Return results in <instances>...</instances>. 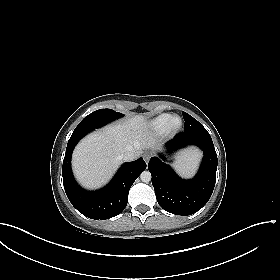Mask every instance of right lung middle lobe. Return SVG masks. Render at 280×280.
Masks as SVG:
<instances>
[{
  "label": "right lung middle lobe",
  "instance_id": "right-lung-middle-lobe-1",
  "mask_svg": "<svg viewBox=\"0 0 280 280\" xmlns=\"http://www.w3.org/2000/svg\"><path fill=\"white\" fill-rule=\"evenodd\" d=\"M123 114L115 112L111 109H100L92 112L86 116L80 124L75 128L73 134L80 132H90L95 128L104 126L105 124L115 120L116 118L122 117Z\"/></svg>",
  "mask_w": 280,
  "mask_h": 280
}]
</instances>
